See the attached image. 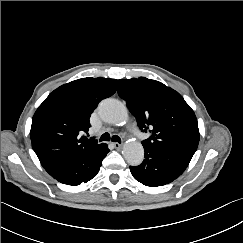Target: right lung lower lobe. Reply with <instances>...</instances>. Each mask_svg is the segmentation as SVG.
Instances as JSON below:
<instances>
[{"label":"right lung lower lobe","mask_w":243,"mask_h":243,"mask_svg":"<svg viewBox=\"0 0 243 243\" xmlns=\"http://www.w3.org/2000/svg\"><path fill=\"white\" fill-rule=\"evenodd\" d=\"M109 149L107 145L88 154L69 155L53 161L45 170L57 181L67 185H80L94 178Z\"/></svg>","instance_id":"right-lung-lower-lobe-1"}]
</instances>
